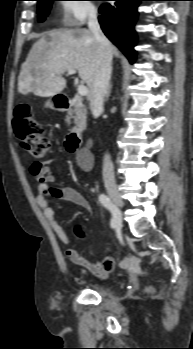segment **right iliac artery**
<instances>
[{
  "label": "right iliac artery",
  "instance_id": "right-iliac-artery-1",
  "mask_svg": "<svg viewBox=\"0 0 193 349\" xmlns=\"http://www.w3.org/2000/svg\"><path fill=\"white\" fill-rule=\"evenodd\" d=\"M99 201L100 203L111 212V227L114 228L116 226L115 224V220H116V207L115 205L112 203V201L110 200V198L108 196H106L105 194H100L99 195Z\"/></svg>",
  "mask_w": 193,
  "mask_h": 349
}]
</instances>
